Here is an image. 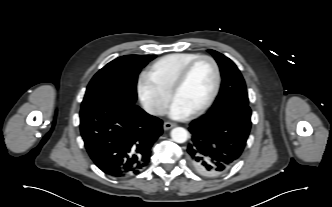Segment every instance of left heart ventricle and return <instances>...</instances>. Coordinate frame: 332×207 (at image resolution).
Wrapping results in <instances>:
<instances>
[{"label": "left heart ventricle", "instance_id": "left-heart-ventricle-1", "mask_svg": "<svg viewBox=\"0 0 332 207\" xmlns=\"http://www.w3.org/2000/svg\"><path fill=\"white\" fill-rule=\"evenodd\" d=\"M214 82L212 64L207 60H201L193 66L185 83L175 94L174 100L192 112L208 99Z\"/></svg>", "mask_w": 332, "mask_h": 207}]
</instances>
